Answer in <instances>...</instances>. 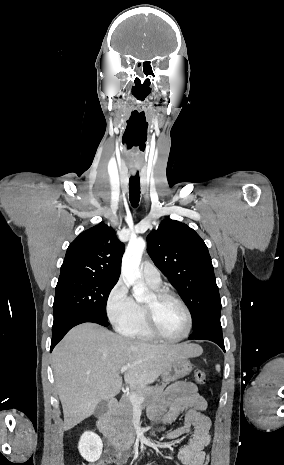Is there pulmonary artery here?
<instances>
[{"label":"pulmonary artery","mask_w":284,"mask_h":465,"mask_svg":"<svg viewBox=\"0 0 284 465\" xmlns=\"http://www.w3.org/2000/svg\"><path fill=\"white\" fill-rule=\"evenodd\" d=\"M141 274L143 279L152 286H158L161 283V277L159 270L147 262L142 264Z\"/></svg>","instance_id":"1"}]
</instances>
